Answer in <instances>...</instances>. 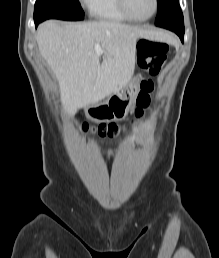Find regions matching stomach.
Here are the masks:
<instances>
[{"instance_id": "0dacf381", "label": "stomach", "mask_w": 219, "mask_h": 258, "mask_svg": "<svg viewBox=\"0 0 219 258\" xmlns=\"http://www.w3.org/2000/svg\"><path fill=\"white\" fill-rule=\"evenodd\" d=\"M138 92L139 78L136 76L121 92L110 94L103 102L89 105L85 109L86 116L95 121L122 120L134 105Z\"/></svg>"}]
</instances>
